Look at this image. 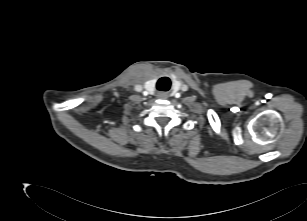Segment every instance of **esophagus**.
<instances>
[{
  "label": "esophagus",
  "mask_w": 307,
  "mask_h": 221,
  "mask_svg": "<svg viewBox=\"0 0 307 221\" xmlns=\"http://www.w3.org/2000/svg\"><path fill=\"white\" fill-rule=\"evenodd\" d=\"M157 97L160 98V99H167L168 95L165 92H159L157 94Z\"/></svg>",
  "instance_id": "34e87169"
}]
</instances>
